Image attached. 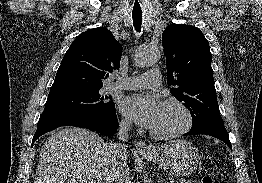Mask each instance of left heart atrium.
I'll return each instance as SVG.
<instances>
[{
  "label": "left heart atrium",
  "instance_id": "left-heart-atrium-1",
  "mask_svg": "<svg viewBox=\"0 0 262 183\" xmlns=\"http://www.w3.org/2000/svg\"><path fill=\"white\" fill-rule=\"evenodd\" d=\"M161 104L152 95L134 94L124 97L120 102L122 113L137 124L151 129L158 117Z\"/></svg>",
  "mask_w": 262,
  "mask_h": 183
}]
</instances>
